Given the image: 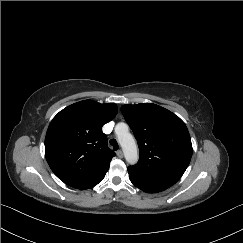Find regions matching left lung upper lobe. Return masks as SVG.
Here are the masks:
<instances>
[{"label":"left lung upper lobe","mask_w":243,"mask_h":243,"mask_svg":"<svg viewBox=\"0 0 243 243\" xmlns=\"http://www.w3.org/2000/svg\"><path fill=\"white\" fill-rule=\"evenodd\" d=\"M121 112L140 151L138 163L128 167L129 176L183 175L193 151L185 123L174 113L152 103L123 105Z\"/></svg>","instance_id":"obj_1"}]
</instances>
